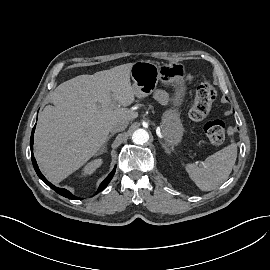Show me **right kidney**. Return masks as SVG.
Segmentation results:
<instances>
[{"instance_id":"1","label":"right kidney","mask_w":270,"mask_h":270,"mask_svg":"<svg viewBox=\"0 0 270 270\" xmlns=\"http://www.w3.org/2000/svg\"><path fill=\"white\" fill-rule=\"evenodd\" d=\"M102 163V159L92 160L84 166L82 170V175H91L97 168L102 165Z\"/></svg>"}]
</instances>
